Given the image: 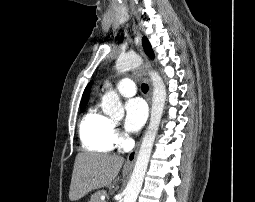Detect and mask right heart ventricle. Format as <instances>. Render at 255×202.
<instances>
[{
    "mask_svg": "<svg viewBox=\"0 0 255 202\" xmlns=\"http://www.w3.org/2000/svg\"><path fill=\"white\" fill-rule=\"evenodd\" d=\"M84 148L92 152H109L114 146V124L96 107L90 108L80 123Z\"/></svg>",
    "mask_w": 255,
    "mask_h": 202,
    "instance_id": "1",
    "label": "right heart ventricle"
}]
</instances>
